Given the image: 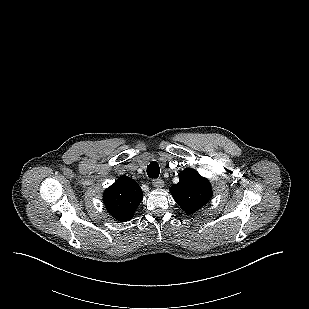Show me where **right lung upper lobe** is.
<instances>
[{
  "label": "right lung upper lobe",
  "mask_w": 309,
  "mask_h": 309,
  "mask_svg": "<svg viewBox=\"0 0 309 309\" xmlns=\"http://www.w3.org/2000/svg\"><path fill=\"white\" fill-rule=\"evenodd\" d=\"M142 198V190L138 183L127 176H121L103 194L108 211L122 222L132 219Z\"/></svg>",
  "instance_id": "right-lung-upper-lobe-1"
}]
</instances>
